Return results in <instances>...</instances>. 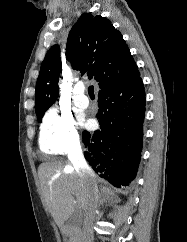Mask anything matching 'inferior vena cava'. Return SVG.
I'll list each match as a JSON object with an SVG mask.
<instances>
[{
	"label": "inferior vena cava",
	"instance_id": "602c4592",
	"mask_svg": "<svg viewBox=\"0 0 187 242\" xmlns=\"http://www.w3.org/2000/svg\"><path fill=\"white\" fill-rule=\"evenodd\" d=\"M68 158L81 178L89 180V194L85 206L82 242H93V223L99 200L98 186L94 181L95 174L88 166L79 141L74 142L68 152Z\"/></svg>",
	"mask_w": 187,
	"mask_h": 242
}]
</instances>
